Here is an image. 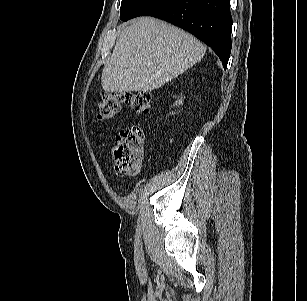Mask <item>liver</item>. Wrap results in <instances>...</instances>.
Segmentation results:
<instances>
[{"mask_svg": "<svg viewBox=\"0 0 307 301\" xmlns=\"http://www.w3.org/2000/svg\"><path fill=\"white\" fill-rule=\"evenodd\" d=\"M206 46L189 33L152 17L121 32L102 72L107 92L151 91L200 61Z\"/></svg>", "mask_w": 307, "mask_h": 301, "instance_id": "obj_1", "label": "liver"}]
</instances>
